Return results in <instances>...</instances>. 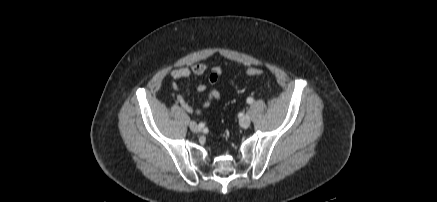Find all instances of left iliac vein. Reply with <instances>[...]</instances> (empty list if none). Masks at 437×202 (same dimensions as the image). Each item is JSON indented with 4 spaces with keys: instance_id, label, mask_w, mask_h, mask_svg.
Listing matches in <instances>:
<instances>
[{
    "instance_id": "4c4485c4",
    "label": "left iliac vein",
    "mask_w": 437,
    "mask_h": 202,
    "mask_svg": "<svg viewBox=\"0 0 437 202\" xmlns=\"http://www.w3.org/2000/svg\"><path fill=\"white\" fill-rule=\"evenodd\" d=\"M250 123H251V120H250V117L248 115L243 116L239 121L240 126L243 128H248L250 126Z\"/></svg>"
}]
</instances>
